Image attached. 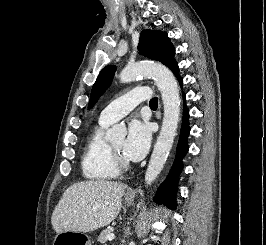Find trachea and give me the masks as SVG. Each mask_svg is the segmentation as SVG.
Returning <instances> with one entry per match:
<instances>
[{"mask_svg": "<svg viewBox=\"0 0 266 245\" xmlns=\"http://www.w3.org/2000/svg\"><path fill=\"white\" fill-rule=\"evenodd\" d=\"M149 105H150V106H152V105H158V100H157V97H155V98H152V99L150 100V103H149Z\"/></svg>", "mask_w": 266, "mask_h": 245, "instance_id": "obj_1", "label": "trachea"}]
</instances>
